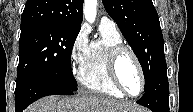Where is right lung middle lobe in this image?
Here are the masks:
<instances>
[{
	"instance_id": "right-lung-middle-lobe-1",
	"label": "right lung middle lobe",
	"mask_w": 193,
	"mask_h": 112,
	"mask_svg": "<svg viewBox=\"0 0 193 112\" xmlns=\"http://www.w3.org/2000/svg\"><path fill=\"white\" fill-rule=\"evenodd\" d=\"M77 27L39 25L21 30L16 86L46 81L77 91L71 69V52Z\"/></svg>"
}]
</instances>
